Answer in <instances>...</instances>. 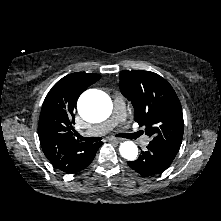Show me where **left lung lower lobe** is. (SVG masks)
<instances>
[{
    "instance_id": "1",
    "label": "left lung lower lobe",
    "mask_w": 221,
    "mask_h": 221,
    "mask_svg": "<svg viewBox=\"0 0 221 221\" xmlns=\"http://www.w3.org/2000/svg\"><path fill=\"white\" fill-rule=\"evenodd\" d=\"M178 152L156 143H149L146 151L128 165L142 176L148 177L162 173L173 162Z\"/></svg>"
}]
</instances>
